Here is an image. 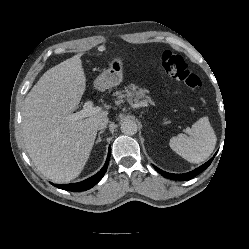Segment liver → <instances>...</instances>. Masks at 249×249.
I'll list each match as a JSON object with an SVG mask.
<instances>
[{"label": "liver", "instance_id": "obj_1", "mask_svg": "<svg viewBox=\"0 0 249 249\" xmlns=\"http://www.w3.org/2000/svg\"><path fill=\"white\" fill-rule=\"evenodd\" d=\"M81 54L47 70L27 94L22 109L26 150L48 179L68 182L83 170L94 145V122L107 111L80 120L68 117L86 90Z\"/></svg>", "mask_w": 249, "mask_h": 249}]
</instances>
